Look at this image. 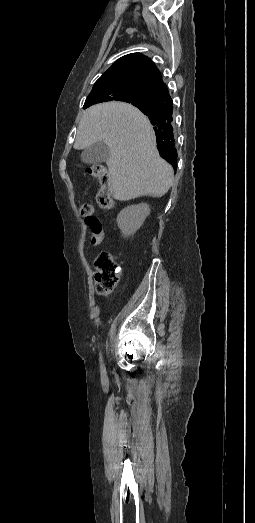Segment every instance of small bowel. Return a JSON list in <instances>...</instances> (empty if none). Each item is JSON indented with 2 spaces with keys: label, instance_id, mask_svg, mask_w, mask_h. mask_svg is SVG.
Masks as SVG:
<instances>
[{
  "label": "small bowel",
  "instance_id": "c3829d8e",
  "mask_svg": "<svg viewBox=\"0 0 255 523\" xmlns=\"http://www.w3.org/2000/svg\"><path fill=\"white\" fill-rule=\"evenodd\" d=\"M90 229V243L94 246L99 245L102 242L103 231L102 224L97 218L86 222Z\"/></svg>",
  "mask_w": 255,
  "mask_h": 523
}]
</instances>
